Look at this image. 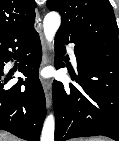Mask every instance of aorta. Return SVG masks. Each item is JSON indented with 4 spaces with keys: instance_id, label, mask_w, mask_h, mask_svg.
<instances>
[{
    "instance_id": "obj_1",
    "label": "aorta",
    "mask_w": 119,
    "mask_h": 141,
    "mask_svg": "<svg viewBox=\"0 0 119 141\" xmlns=\"http://www.w3.org/2000/svg\"><path fill=\"white\" fill-rule=\"evenodd\" d=\"M61 18L60 15L56 12L48 13L44 18V34L47 41L52 42L54 36L60 27ZM54 129H55V121L54 116L49 115L43 125L41 141H54Z\"/></svg>"
}]
</instances>
